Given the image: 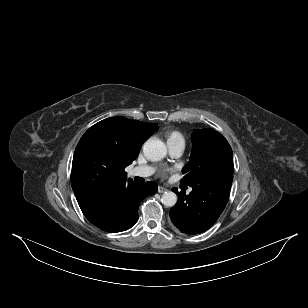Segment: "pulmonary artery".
Here are the masks:
<instances>
[{
	"label": "pulmonary artery",
	"instance_id": "1",
	"mask_svg": "<svg viewBox=\"0 0 308 308\" xmlns=\"http://www.w3.org/2000/svg\"><path fill=\"white\" fill-rule=\"evenodd\" d=\"M168 151L172 157H179L183 150L184 144L179 142H169L167 143ZM155 168L150 165L137 166L131 170V175L139 177H148L152 175Z\"/></svg>",
	"mask_w": 308,
	"mask_h": 308
}]
</instances>
